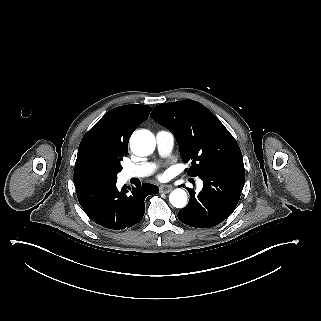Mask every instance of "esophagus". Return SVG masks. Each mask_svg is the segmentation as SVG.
<instances>
[{"mask_svg": "<svg viewBox=\"0 0 321 321\" xmlns=\"http://www.w3.org/2000/svg\"><path fill=\"white\" fill-rule=\"evenodd\" d=\"M172 189L173 188L171 185H163L160 187V192L161 193H169Z\"/></svg>", "mask_w": 321, "mask_h": 321, "instance_id": "1", "label": "esophagus"}]
</instances>
